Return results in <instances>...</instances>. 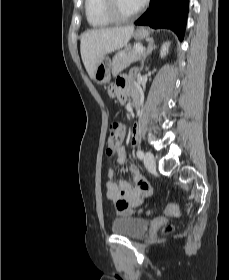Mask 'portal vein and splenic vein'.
<instances>
[{
	"mask_svg": "<svg viewBox=\"0 0 229 280\" xmlns=\"http://www.w3.org/2000/svg\"><path fill=\"white\" fill-rule=\"evenodd\" d=\"M135 51H136V52H139V53H143V52L145 51V48L142 47V46H139V47L136 48Z\"/></svg>",
	"mask_w": 229,
	"mask_h": 280,
	"instance_id": "18ae733b",
	"label": "portal vein and splenic vein"
}]
</instances>
